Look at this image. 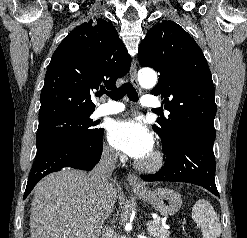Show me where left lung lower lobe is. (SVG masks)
Returning a JSON list of instances; mask_svg holds the SVG:
<instances>
[{
  "instance_id": "left-lung-lower-lobe-1",
  "label": "left lung lower lobe",
  "mask_w": 247,
  "mask_h": 238,
  "mask_svg": "<svg viewBox=\"0 0 247 238\" xmlns=\"http://www.w3.org/2000/svg\"><path fill=\"white\" fill-rule=\"evenodd\" d=\"M165 164L152 175H141L145 181L186 182L202 186L219 196L215 184L213 145L193 136L177 137L173 144L163 146Z\"/></svg>"
}]
</instances>
